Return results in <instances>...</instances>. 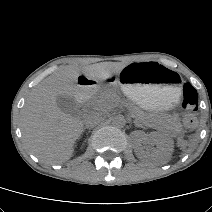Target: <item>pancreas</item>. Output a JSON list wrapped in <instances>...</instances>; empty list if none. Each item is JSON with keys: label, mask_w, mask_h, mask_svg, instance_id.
<instances>
[{"label": "pancreas", "mask_w": 212, "mask_h": 212, "mask_svg": "<svg viewBox=\"0 0 212 212\" xmlns=\"http://www.w3.org/2000/svg\"><path fill=\"white\" fill-rule=\"evenodd\" d=\"M93 99L97 102L99 106H101L104 109H111L112 107L120 103L117 96L111 93H102L99 96L94 97ZM127 106L135 114L136 120L138 122L145 123L150 126L153 125V123L155 122L151 116H149L136 106L130 103H128Z\"/></svg>", "instance_id": "cf45deb5"}]
</instances>
